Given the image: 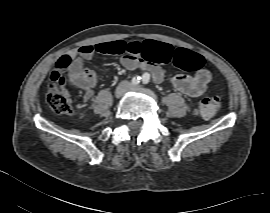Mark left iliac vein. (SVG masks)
Returning a JSON list of instances; mask_svg holds the SVG:
<instances>
[{
    "mask_svg": "<svg viewBox=\"0 0 270 213\" xmlns=\"http://www.w3.org/2000/svg\"><path fill=\"white\" fill-rule=\"evenodd\" d=\"M140 86L139 85H131L130 90H135L138 89Z\"/></svg>",
    "mask_w": 270,
    "mask_h": 213,
    "instance_id": "left-iliac-vein-1",
    "label": "left iliac vein"
}]
</instances>
